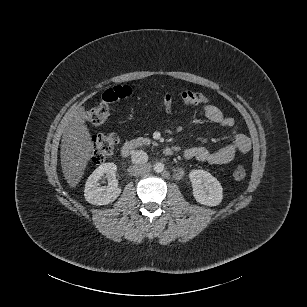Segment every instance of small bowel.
Returning <instances> with one entry per match:
<instances>
[{"mask_svg":"<svg viewBox=\"0 0 307 307\" xmlns=\"http://www.w3.org/2000/svg\"><path fill=\"white\" fill-rule=\"evenodd\" d=\"M205 117L212 123L230 130L231 141L228 145L210 151L203 146L187 148L184 156L210 165H222L233 161L237 154H245L251 148L248 136L238 131V125L234 118L225 115L217 106L205 104L202 107Z\"/></svg>","mask_w":307,"mask_h":307,"instance_id":"1","label":"small bowel"}]
</instances>
